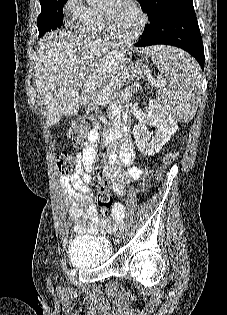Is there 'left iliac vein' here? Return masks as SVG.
<instances>
[{
  "label": "left iliac vein",
  "mask_w": 227,
  "mask_h": 315,
  "mask_svg": "<svg viewBox=\"0 0 227 315\" xmlns=\"http://www.w3.org/2000/svg\"><path fill=\"white\" fill-rule=\"evenodd\" d=\"M122 239V233L118 234L116 237V242H120Z\"/></svg>",
  "instance_id": "left-iliac-vein-1"
}]
</instances>
